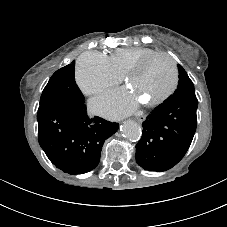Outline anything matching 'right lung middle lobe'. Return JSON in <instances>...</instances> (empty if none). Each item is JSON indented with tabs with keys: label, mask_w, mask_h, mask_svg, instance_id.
Segmentation results:
<instances>
[{
	"label": "right lung middle lobe",
	"mask_w": 227,
	"mask_h": 227,
	"mask_svg": "<svg viewBox=\"0 0 227 227\" xmlns=\"http://www.w3.org/2000/svg\"><path fill=\"white\" fill-rule=\"evenodd\" d=\"M74 68L75 63L72 62L51 76L42 92L40 106L50 102L84 100V96L75 83Z\"/></svg>",
	"instance_id": "1"
}]
</instances>
